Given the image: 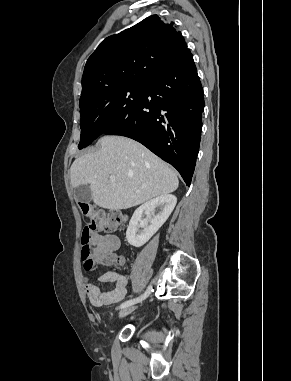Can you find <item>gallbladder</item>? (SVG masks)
<instances>
[{"label":"gallbladder","instance_id":"obj_1","mask_svg":"<svg viewBox=\"0 0 291 381\" xmlns=\"http://www.w3.org/2000/svg\"><path fill=\"white\" fill-rule=\"evenodd\" d=\"M74 197L79 203H90L92 193L89 185H81L74 189Z\"/></svg>","mask_w":291,"mask_h":381}]
</instances>
